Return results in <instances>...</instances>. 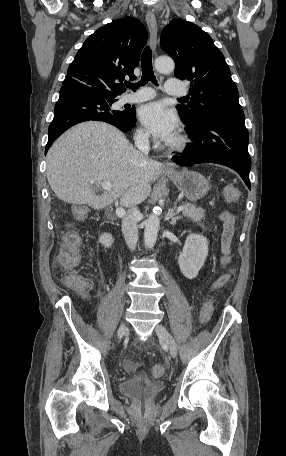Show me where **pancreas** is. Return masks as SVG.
I'll return each instance as SVG.
<instances>
[{
  "label": "pancreas",
  "instance_id": "cf45deb5",
  "mask_svg": "<svg viewBox=\"0 0 286 456\" xmlns=\"http://www.w3.org/2000/svg\"><path fill=\"white\" fill-rule=\"evenodd\" d=\"M184 206L183 215L190 218L194 222H199L205 217V211L201 207H196L190 203H182Z\"/></svg>",
  "mask_w": 286,
  "mask_h": 456
}]
</instances>
